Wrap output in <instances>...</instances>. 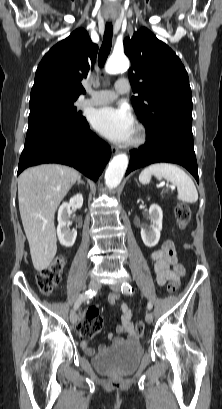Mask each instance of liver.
Segmentation results:
<instances>
[{"mask_svg":"<svg viewBox=\"0 0 222 409\" xmlns=\"http://www.w3.org/2000/svg\"><path fill=\"white\" fill-rule=\"evenodd\" d=\"M79 177L75 169L58 164L31 167L19 176V211L37 271L46 269L57 252L55 212Z\"/></svg>","mask_w":222,"mask_h":409,"instance_id":"liver-1","label":"liver"}]
</instances>
